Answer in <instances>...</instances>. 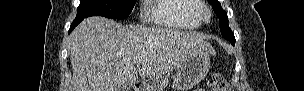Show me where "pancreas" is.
I'll return each mask as SVG.
<instances>
[{
  "mask_svg": "<svg viewBox=\"0 0 304 91\" xmlns=\"http://www.w3.org/2000/svg\"><path fill=\"white\" fill-rule=\"evenodd\" d=\"M169 83V78L167 76L163 77L160 80V85L156 86L155 90H163V88H165L167 86V84Z\"/></svg>",
  "mask_w": 304,
  "mask_h": 91,
  "instance_id": "1",
  "label": "pancreas"
}]
</instances>
